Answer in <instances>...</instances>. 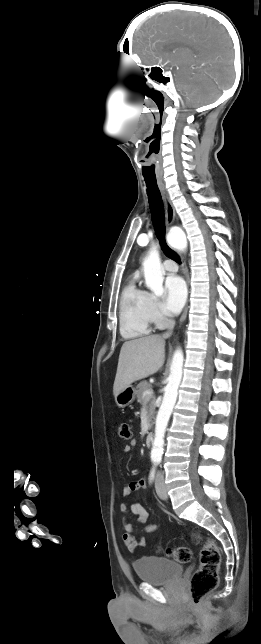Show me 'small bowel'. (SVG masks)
Here are the masks:
<instances>
[{
    "instance_id": "obj_1",
    "label": "small bowel",
    "mask_w": 261,
    "mask_h": 644,
    "mask_svg": "<svg viewBox=\"0 0 261 644\" xmlns=\"http://www.w3.org/2000/svg\"><path fill=\"white\" fill-rule=\"evenodd\" d=\"M136 442L132 441L129 445H126L123 449L125 453H129L132 448L135 446ZM146 488V481L144 479H137L133 480L130 483H128L122 491V494L124 497L130 496L135 492L141 491ZM120 511L122 513L127 512V506L125 504H121L120 506ZM130 512L136 516L138 522L140 523H146L148 520V512L147 510L138 503L132 504L130 506ZM159 529V526L157 524H147L145 526V531L147 533H153ZM123 530H124V535H123V540L125 545L130 551L136 550L138 547H144L147 544V540L145 537H138L136 538L133 535L134 531V525L130 522L125 521L123 523Z\"/></svg>"
}]
</instances>
